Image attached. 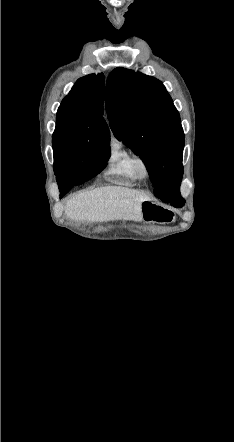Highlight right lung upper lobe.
<instances>
[{
    "label": "right lung upper lobe",
    "mask_w": 234,
    "mask_h": 442,
    "mask_svg": "<svg viewBox=\"0 0 234 442\" xmlns=\"http://www.w3.org/2000/svg\"><path fill=\"white\" fill-rule=\"evenodd\" d=\"M104 75L90 74L77 80L62 100L56 123L67 124L89 140L110 141L108 126L102 117Z\"/></svg>",
    "instance_id": "obj_1"
}]
</instances>
